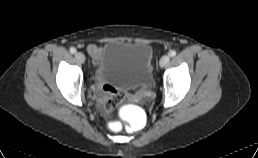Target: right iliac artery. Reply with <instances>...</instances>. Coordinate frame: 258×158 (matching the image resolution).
Instances as JSON below:
<instances>
[{"label":"right iliac artery","mask_w":258,"mask_h":158,"mask_svg":"<svg viewBox=\"0 0 258 158\" xmlns=\"http://www.w3.org/2000/svg\"><path fill=\"white\" fill-rule=\"evenodd\" d=\"M70 52H71L72 54H74V53L76 52V49L72 47V48L70 49Z\"/></svg>","instance_id":"1"}]
</instances>
